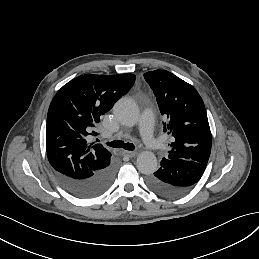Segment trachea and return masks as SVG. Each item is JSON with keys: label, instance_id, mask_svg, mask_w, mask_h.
Returning <instances> with one entry per match:
<instances>
[{"label": "trachea", "instance_id": "3493384b", "mask_svg": "<svg viewBox=\"0 0 259 259\" xmlns=\"http://www.w3.org/2000/svg\"><path fill=\"white\" fill-rule=\"evenodd\" d=\"M108 146L113 147V148H123L125 150H134V145L131 143H124V141L120 140H114L112 142L107 143Z\"/></svg>", "mask_w": 259, "mask_h": 259}]
</instances>
